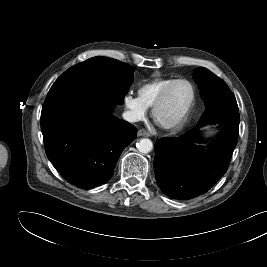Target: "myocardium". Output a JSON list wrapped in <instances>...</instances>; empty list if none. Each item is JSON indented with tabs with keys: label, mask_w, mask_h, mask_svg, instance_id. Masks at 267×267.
Instances as JSON below:
<instances>
[{
	"label": "myocardium",
	"mask_w": 267,
	"mask_h": 267,
	"mask_svg": "<svg viewBox=\"0 0 267 267\" xmlns=\"http://www.w3.org/2000/svg\"><path fill=\"white\" fill-rule=\"evenodd\" d=\"M180 83H186L191 87L192 90V98L190 103L188 104V106L186 107L185 111L183 112V114L176 119L173 122L170 123H160L157 120V111L158 109L162 106V104L166 101L167 97L169 96L171 90L178 84ZM195 99H196V91H195V87L193 85V83L187 79H177L175 81H173L172 83H170L169 85H167L161 92L160 94L157 96V98L155 99L154 103L152 104L151 107V115L153 117V119L158 123V125L160 127H162L165 130H178L181 127L184 126V124L186 123L189 114L194 106L195 103Z\"/></svg>",
	"instance_id": "myocardium-1"
}]
</instances>
